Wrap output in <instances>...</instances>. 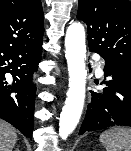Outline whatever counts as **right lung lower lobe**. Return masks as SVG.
<instances>
[{
    "instance_id": "1",
    "label": "right lung lower lobe",
    "mask_w": 131,
    "mask_h": 151,
    "mask_svg": "<svg viewBox=\"0 0 131 151\" xmlns=\"http://www.w3.org/2000/svg\"><path fill=\"white\" fill-rule=\"evenodd\" d=\"M42 42L16 47L0 46V118L32 139L36 87L33 73L41 59ZM13 84L7 85L5 74Z\"/></svg>"
}]
</instances>
